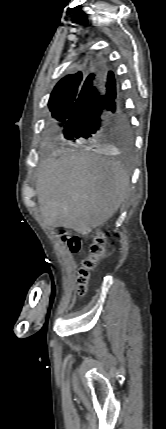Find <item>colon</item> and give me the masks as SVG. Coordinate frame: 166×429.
Returning a JSON list of instances; mask_svg holds the SVG:
<instances>
[{
    "mask_svg": "<svg viewBox=\"0 0 166 429\" xmlns=\"http://www.w3.org/2000/svg\"><path fill=\"white\" fill-rule=\"evenodd\" d=\"M63 241L72 252L80 249L81 241L76 234H63ZM106 248V240L102 235H98L91 244L89 256L83 261L82 268L78 275V293L85 294L87 291L89 272L95 267L97 261L103 256Z\"/></svg>",
    "mask_w": 166,
    "mask_h": 429,
    "instance_id": "colon-1",
    "label": "colon"
}]
</instances>
